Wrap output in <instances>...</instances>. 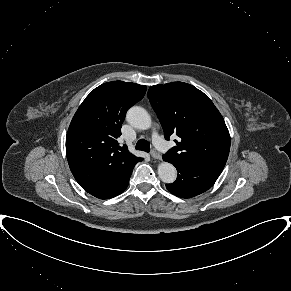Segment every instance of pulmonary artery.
<instances>
[{"label":"pulmonary artery","instance_id":"pulmonary-artery-1","mask_svg":"<svg viewBox=\"0 0 291 291\" xmlns=\"http://www.w3.org/2000/svg\"><path fill=\"white\" fill-rule=\"evenodd\" d=\"M153 141L160 151L166 152L168 150L167 143L157 133L153 134Z\"/></svg>","mask_w":291,"mask_h":291}]
</instances>
